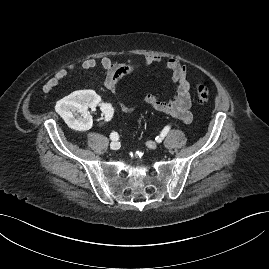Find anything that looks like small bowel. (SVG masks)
Masks as SVG:
<instances>
[{"instance_id": "1", "label": "small bowel", "mask_w": 269, "mask_h": 269, "mask_svg": "<svg viewBox=\"0 0 269 269\" xmlns=\"http://www.w3.org/2000/svg\"><path fill=\"white\" fill-rule=\"evenodd\" d=\"M163 58L159 55H141L131 62L117 63L109 57H102L99 60L86 59L80 64H70L66 68L57 71L42 88L43 93H50L68 74V72L81 68L92 70L100 67L103 71V84L112 93L117 92V83L122 71L133 72L145 66H152L162 63ZM165 67L170 75V83L175 89L174 96L169 100H162L152 93H146L142 100L152 109L169 115L184 124H189L193 115L190 110L191 82L188 79L187 65L177 58H170L165 62ZM120 109L126 114L135 112L134 104L119 102Z\"/></svg>"}]
</instances>
